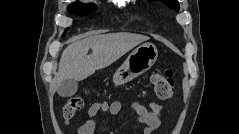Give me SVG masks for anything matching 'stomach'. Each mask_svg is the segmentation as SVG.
I'll return each mask as SVG.
<instances>
[{
	"instance_id": "stomach-1",
	"label": "stomach",
	"mask_w": 239,
	"mask_h": 134,
	"mask_svg": "<svg viewBox=\"0 0 239 134\" xmlns=\"http://www.w3.org/2000/svg\"><path fill=\"white\" fill-rule=\"evenodd\" d=\"M158 50L152 43L138 46L113 75L115 85L127 83L149 70L156 62Z\"/></svg>"
}]
</instances>
